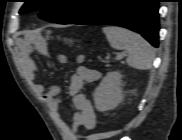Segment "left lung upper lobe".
<instances>
[{"mask_svg":"<svg viewBox=\"0 0 182 140\" xmlns=\"http://www.w3.org/2000/svg\"><path fill=\"white\" fill-rule=\"evenodd\" d=\"M101 0H25L19 13L42 11L52 23L71 24L90 12Z\"/></svg>","mask_w":182,"mask_h":140,"instance_id":"1","label":"left lung upper lobe"}]
</instances>
